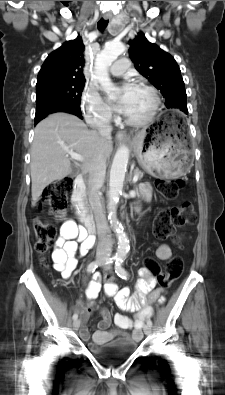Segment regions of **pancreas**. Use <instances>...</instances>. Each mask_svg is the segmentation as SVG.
<instances>
[{
	"mask_svg": "<svg viewBox=\"0 0 225 395\" xmlns=\"http://www.w3.org/2000/svg\"><path fill=\"white\" fill-rule=\"evenodd\" d=\"M134 175H138V178L141 179L143 177L144 173L141 170H139L138 168H136L134 170Z\"/></svg>",
	"mask_w": 225,
	"mask_h": 395,
	"instance_id": "1",
	"label": "pancreas"
}]
</instances>
